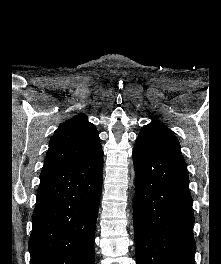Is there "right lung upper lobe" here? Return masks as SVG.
I'll use <instances>...</instances> for the list:
<instances>
[{
    "label": "right lung upper lobe",
    "instance_id": "right-lung-upper-lobe-1",
    "mask_svg": "<svg viewBox=\"0 0 221 264\" xmlns=\"http://www.w3.org/2000/svg\"><path fill=\"white\" fill-rule=\"evenodd\" d=\"M102 153L95 126L85 114L61 124L49 142L44 169L81 163Z\"/></svg>",
    "mask_w": 221,
    "mask_h": 264
}]
</instances>
